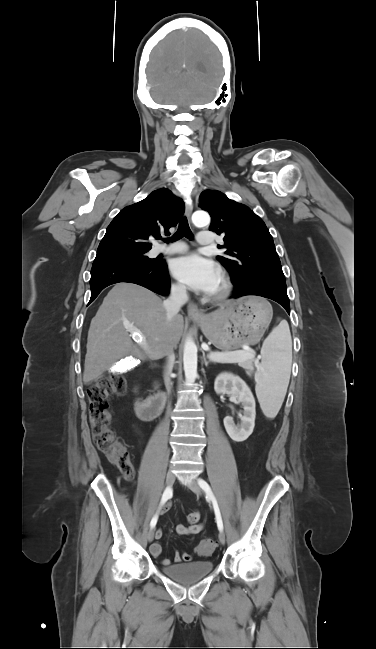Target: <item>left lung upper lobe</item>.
Returning <instances> with one entry per match:
<instances>
[{"mask_svg": "<svg viewBox=\"0 0 376 649\" xmlns=\"http://www.w3.org/2000/svg\"><path fill=\"white\" fill-rule=\"evenodd\" d=\"M200 207L211 215L209 230L223 234L226 248L217 259L241 286L251 277H263L286 287L273 238L262 219L247 206L230 200L215 190L200 195Z\"/></svg>", "mask_w": 376, "mask_h": 649, "instance_id": "obj_1", "label": "left lung upper lobe"}]
</instances>
